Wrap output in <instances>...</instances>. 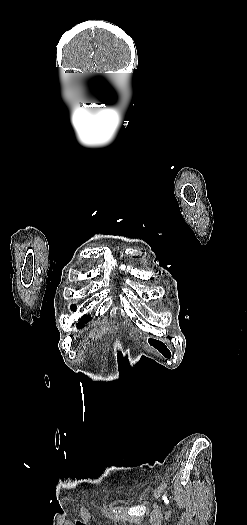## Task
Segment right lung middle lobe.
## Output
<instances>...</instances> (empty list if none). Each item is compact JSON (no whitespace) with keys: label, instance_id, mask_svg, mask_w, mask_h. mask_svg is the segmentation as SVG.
I'll return each mask as SVG.
<instances>
[{"label":"right lung middle lobe","instance_id":"right-lung-middle-lobe-1","mask_svg":"<svg viewBox=\"0 0 247 525\" xmlns=\"http://www.w3.org/2000/svg\"><path fill=\"white\" fill-rule=\"evenodd\" d=\"M71 309L75 311L76 310V306L72 305ZM88 320H89V318L87 316L82 317V319L80 320V324H78V327H82L83 324L85 322H87Z\"/></svg>","mask_w":247,"mask_h":525}]
</instances>
